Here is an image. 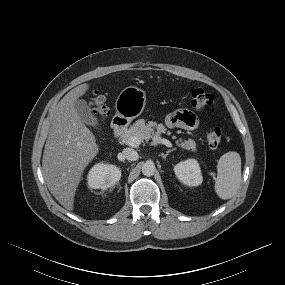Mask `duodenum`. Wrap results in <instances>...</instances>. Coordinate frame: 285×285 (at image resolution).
<instances>
[{
    "label": "duodenum",
    "mask_w": 285,
    "mask_h": 285,
    "mask_svg": "<svg viewBox=\"0 0 285 285\" xmlns=\"http://www.w3.org/2000/svg\"><path fill=\"white\" fill-rule=\"evenodd\" d=\"M128 126L127 120L123 117H116L112 124L113 134L120 137L125 132Z\"/></svg>",
    "instance_id": "duodenum-1"
}]
</instances>
